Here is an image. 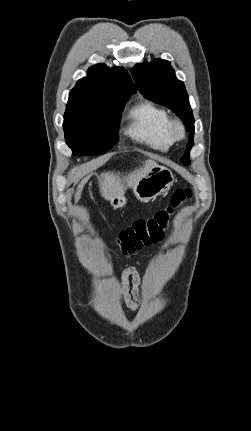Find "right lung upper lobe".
Returning a JSON list of instances; mask_svg holds the SVG:
<instances>
[{"mask_svg":"<svg viewBox=\"0 0 251 431\" xmlns=\"http://www.w3.org/2000/svg\"><path fill=\"white\" fill-rule=\"evenodd\" d=\"M72 91L99 94L115 99H129L136 88L124 68L96 64L88 69V77L80 79Z\"/></svg>","mask_w":251,"mask_h":431,"instance_id":"cb5924a9","label":"right lung upper lobe"}]
</instances>
